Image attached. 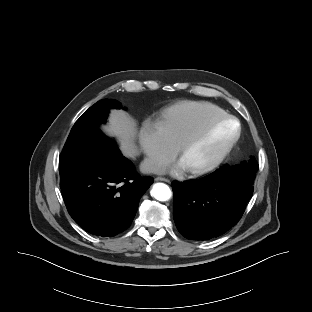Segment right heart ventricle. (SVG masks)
Returning a JSON list of instances; mask_svg holds the SVG:
<instances>
[{"label": "right heart ventricle", "instance_id": "right-heart-ventricle-1", "mask_svg": "<svg viewBox=\"0 0 312 312\" xmlns=\"http://www.w3.org/2000/svg\"><path fill=\"white\" fill-rule=\"evenodd\" d=\"M225 115V110L215 104L188 101L169 108L161 116V121L170 140L178 146L211 120Z\"/></svg>", "mask_w": 312, "mask_h": 312}]
</instances>
